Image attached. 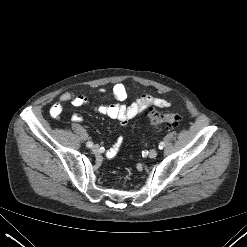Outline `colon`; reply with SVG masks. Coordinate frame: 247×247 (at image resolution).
I'll return each instance as SVG.
<instances>
[{"instance_id":"5ec220e1","label":"colon","mask_w":247,"mask_h":247,"mask_svg":"<svg viewBox=\"0 0 247 247\" xmlns=\"http://www.w3.org/2000/svg\"><path fill=\"white\" fill-rule=\"evenodd\" d=\"M148 118L153 126L168 129L177 127L182 121V116L177 113H163L153 109L149 110Z\"/></svg>"}]
</instances>
